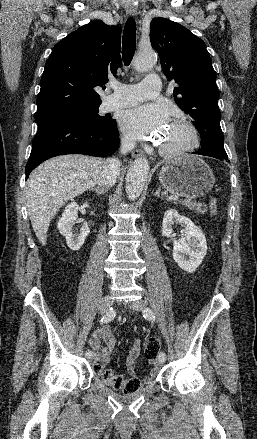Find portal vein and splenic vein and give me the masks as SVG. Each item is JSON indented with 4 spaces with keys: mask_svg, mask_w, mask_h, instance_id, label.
<instances>
[{
    "mask_svg": "<svg viewBox=\"0 0 257 439\" xmlns=\"http://www.w3.org/2000/svg\"><path fill=\"white\" fill-rule=\"evenodd\" d=\"M178 198H179V197H178L177 195H172V196H169V197H168V200H169V201H173V200H178Z\"/></svg>",
    "mask_w": 257,
    "mask_h": 439,
    "instance_id": "18ae733b",
    "label": "portal vein and splenic vein"
}]
</instances>
